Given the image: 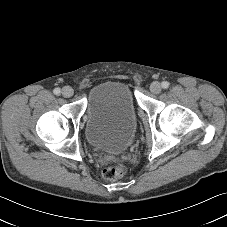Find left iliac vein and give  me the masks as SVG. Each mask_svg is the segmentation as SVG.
<instances>
[{
  "mask_svg": "<svg viewBox=\"0 0 227 227\" xmlns=\"http://www.w3.org/2000/svg\"><path fill=\"white\" fill-rule=\"evenodd\" d=\"M162 90V86L159 82H153L150 85V91L154 94H159Z\"/></svg>",
  "mask_w": 227,
  "mask_h": 227,
  "instance_id": "1",
  "label": "left iliac vein"
}]
</instances>
